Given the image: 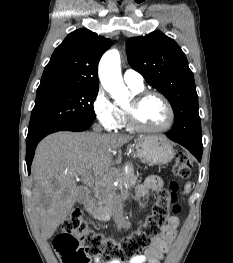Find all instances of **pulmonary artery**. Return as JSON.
<instances>
[{
    "label": "pulmonary artery",
    "mask_w": 233,
    "mask_h": 263,
    "mask_svg": "<svg viewBox=\"0 0 233 263\" xmlns=\"http://www.w3.org/2000/svg\"><path fill=\"white\" fill-rule=\"evenodd\" d=\"M123 79L128 86L141 88L144 85L143 76L136 70L127 69L123 74Z\"/></svg>",
    "instance_id": "obj_1"
}]
</instances>
